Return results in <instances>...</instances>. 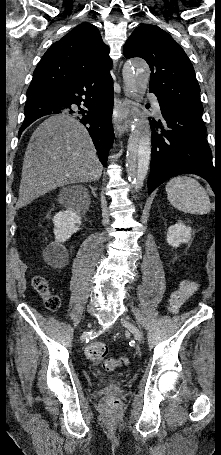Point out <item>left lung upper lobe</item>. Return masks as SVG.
I'll return each mask as SVG.
<instances>
[{"label": "left lung upper lobe", "mask_w": 221, "mask_h": 455, "mask_svg": "<svg viewBox=\"0 0 221 455\" xmlns=\"http://www.w3.org/2000/svg\"><path fill=\"white\" fill-rule=\"evenodd\" d=\"M126 58L141 57L151 69L149 91L163 102L202 116L200 87L180 45L156 25L137 27L124 45Z\"/></svg>", "instance_id": "obj_1"}]
</instances>
